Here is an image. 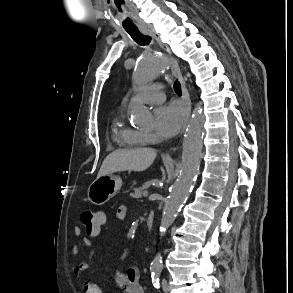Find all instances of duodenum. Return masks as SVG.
Returning a JSON list of instances; mask_svg holds the SVG:
<instances>
[{
	"instance_id": "410a0bca",
	"label": "duodenum",
	"mask_w": 293,
	"mask_h": 293,
	"mask_svg": "<svg viewBox=\"0 0 293 293\" xmlns=\"http://www.w3.org/2000/svg\"><path fill=\"white\" fill-rule=\"evenodd\" d=\"M154 222H155V213L153 210H150L147 218H146V226L148 230H152L154 227Z\"/></svg>"
}]
</instances>
